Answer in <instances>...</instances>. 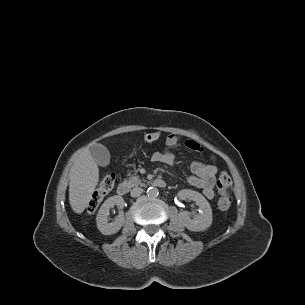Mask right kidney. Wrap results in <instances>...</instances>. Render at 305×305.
I'll use <instances>...</instances> for the list:
<instances>
[{
	"instance_id": "obj_1",
	"label": "right kidney",
	"mask_w": 305,
	"mask_h": 305,
	"mask_svg": "<svg viewBox=\"0 0 305 305\" xmlns=\"http://www.w3.org/2000/svg\"><path fill=\"white\" fill-rule=\"evenodd\" d=\"M124 204V199L119 195L108 198L102 204L96 216V223L97 228L103 235L115 234L122 228L125 222V218L122 213H120L111 223L108 222V215L110 208L118 206L120 209H122Z\"/></svg>"
}]
</instances>
